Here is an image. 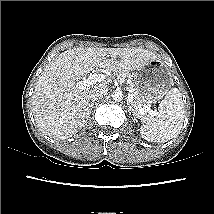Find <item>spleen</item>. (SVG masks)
<instances>
[{
    "label": "spleen",
    "instance_id": "spleen-1",
    "mask_svg": "<svg viewBox=\"0 0 214 214\" xmlns=\"http://www.w3.org/2000/svg\"><path fill=\"white\" fill-rule=\"evenodd\" d=\"M184 103L177 88H172L158 106L155 115L141 118V136L147 141L164 143L175 138L183 125Z\"/></svg>",
    "mask_w": 214,
    "mask_h": 214
}]
</instances>
